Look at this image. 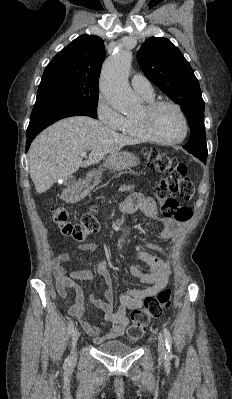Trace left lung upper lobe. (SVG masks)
I'll return each mask as SVG.
<instances>
[{
    "instance_id": "obj_1",
    "label": "left lung upper lobe",
    "mask_w": 232,
    "mask_h": 399,
    "mask_svg": "<svg viewBox=\"0 0 232 399\" xmlns=\"http://www.w3.org/2000/svg\"><path fill=\"white\" fill-rule=\"evenodd\" d=\"M145 76L180 105L190 125L183 146L197 158H207L204 107L199 82L180 50L168 39L150 37L137 54Z\"/></svg>"
}]
</instances>
